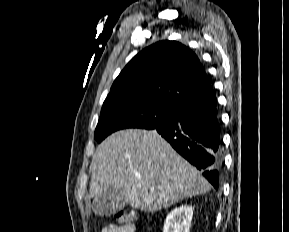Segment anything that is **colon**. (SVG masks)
Segmentation results:
<instances>
[{"mask_svg":"<svg viewBox=\"0 0 289 232\" xmlns=\"http://www.w3.org/2000/svg\"><path fill=\"white\" fill-rule=\"evenodd\" d=\"M113 219L118 225L124 226L132 222L133 215L129 211L120 210L113 214Z\"/></svg>","mask_w":289,"mask_h":232,"instance_id":"colon-1","label":"colon"}]
</instances>
